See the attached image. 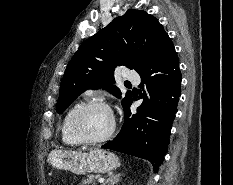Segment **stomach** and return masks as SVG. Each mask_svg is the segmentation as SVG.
I'll list each match as a JSON object with an SVG mask.
<instances>
[{
  "instance_id": "obj_1",
  "label": "stomach",
  "mask_w": 233,
  "mask_h": 185,
  "mask_svg": "<svg viewBox=\"0 0 233 185\" xmlns=\"http://www.w3.org/2000/svg\"><path fill=\"white\" fill-rule=\"evenodd\" d=\"M48 162L54 168L68 170L75 174L105 173L119 166V159L114 153L101 149L84 153L53 150L48 156Z\"/></svg>"
}]
</instances>
